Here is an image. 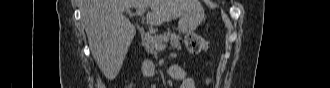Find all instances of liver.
Instances as JSON below:
<instances>
[{
  "label": "liver",
  "mask_w": 330,
  "mask_h": 88,
  "mask_svg": "<svg viewBox=\"0 0 330 88\" xmlns=\"http://www.w3.org/2000/svg\"><path fill=\"white\" fill-rule=\"evenodd\" d=\"M197 0H82L81 15L89 48L107 79H114L136 35L133 24L123 15L128 7L150 8L147 22L159 26L190 12Z\"/></svg>",
  "instance_id": "1"
}]
</instances>
